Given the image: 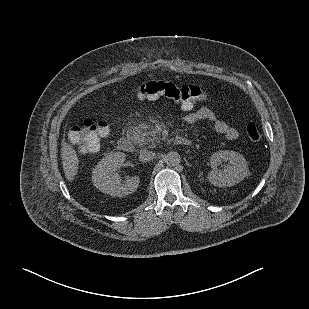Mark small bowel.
I'll use <instances>...</instances> for the list:
<instances>
[{"mask_svg":"<svg viewBox=\"0 0 309 309\" xmlns=\"http://www.w3.org/2000/svg\"><path fill=\"white\" fill-rule=\"evenodd\" d=\"M182 111L186 112L185 121L189 124H193L199 121H209L214 125L216 132L223 134L228 140H235L238 137V132L235 128L229 126L226 122L218 119L214 112L209 108L202 107L197 110H193V106H186L180 104ZM98 146L91 147L89 146L85 151H93Z\"/></svg>","mask_w":309,"mask_h":309,"instance_id":"obj_1","label":"small bowel"}]
</instances>
